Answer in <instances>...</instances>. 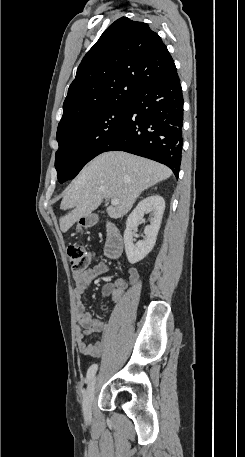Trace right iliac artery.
Masks as SVG:
<instances>
[{
    "instance_id": "82829eb1",
    "label": "right iliac artery",
    "mask_w": 245,
    "mask_h": 457,
    "mask_svg": "<svg viewBox=\"0 0 245 457\" xmlns=\"http://www.w3.org/2000/svg\"><path fill=\"white\" fill-rule=\"evenodd\" d=\"M97 368H98V365L97 364H93L90 366V368L88 369V372H87V380H86V383H89V381L91 380V378L94 376V374L96 373L97 371Z\"/></svg>"
}]
</instances>
